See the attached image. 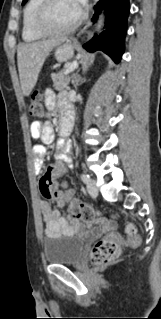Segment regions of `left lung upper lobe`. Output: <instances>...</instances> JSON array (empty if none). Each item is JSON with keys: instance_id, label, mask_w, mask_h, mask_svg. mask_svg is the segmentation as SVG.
I'll list each match as a JSON object with an SVG mask.
<instances>
[{"instance_id": "left-lung-upper-lobe-1", "label": "left lung upper lobe", "mask_w": 161, "mask_h": 319, "mask_svg": "<svg viewBox=\"0 0 161 319\" xmlns=\"http://www.w3.org/2000/svg\"><path fill=\"white\" fill-rule=\"evenodd\" d=\"M27 2V0H23V3H22V5H24L25 3Z\"/></svg>"}]
</instances>
